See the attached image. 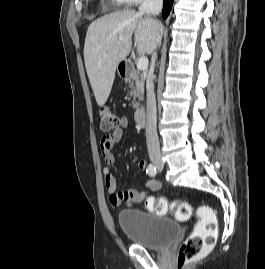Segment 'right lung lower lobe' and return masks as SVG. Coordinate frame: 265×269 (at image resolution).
I'll return each mask as SVG.
<instances>
[{
    "mask_svg": "<svg viewBox=\"0 0 265 269\" xmlns=\"http://www.w3.org/2000/svg\"><path fill=\"white\" fill-rule=\"evenodd\" d=\"M173 1L174 0H164V7H163V11H162L164 19H166L167 16L169 15L170 10L172 8Z\"/></svg>",
    "mask_w": 265,
    "mask_h": 269,
    "instance_id": "1",
    "label": "right lung lower lobe"
}]
</instances>
